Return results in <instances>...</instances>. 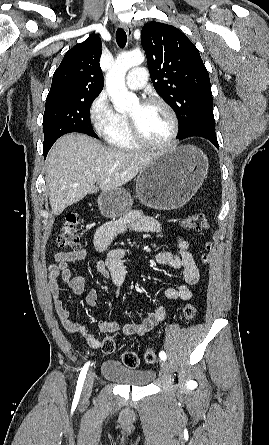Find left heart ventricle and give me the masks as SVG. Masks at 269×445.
Returning <instances> with one entry per match:
<instances>
[{"label": "left heart ventricle", "mask_w": 269, "mask_h": 445, "mask_svg": "<svg viewBox=\"0 0 269 445\" xmlns=\"http://www.w3.org/2000/svg\"><path fill=\"white\" fill-rule=\"evenodd\" d=\"M130 114L137 117L142 135L150 142H162L171 133V118L167 111L159 105L141 106L137 103Z\"/></svg>", "instance_id": "b2bd125f"}]
</instances>
